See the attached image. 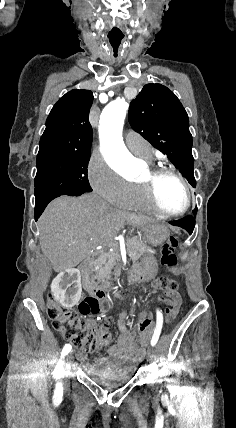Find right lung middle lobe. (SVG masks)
Listing matches in <instances>:
<instances>
[{
    "label": "right lung middle lobe",
    "mask_w": 236,
    "mask_h": 428,
    "mask_svg": "<svg viewBox=\"0 0 236 428\" xmlns=\"http://www.w3.org/2000/svg\"><path fill=\"white\" fill-rule=\"evenodd\" d=\"M90 153H38L35 200L91 192L87 167Z\"/></svg>",
    "instance_id": "obj_1"
}]
</instances>
